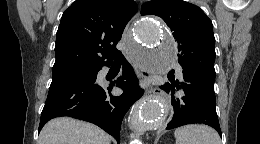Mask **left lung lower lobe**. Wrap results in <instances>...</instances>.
<instances>
[{"label": "left lung lower lobe", "instance_id": "left-lung-lower-lobe-1", "mask_svg": "<svg viewBox=\"0 0 260 144\" xmlns=\"http://www.w3.org/2000/svg\"><path fill=\"white\" fill-rule=\"evenodd\" d=\"M169 82L160 88L171 94L172 111L166 129L202 123L221 129L215 108L214 80L184 68L179 79L168 76Z\"/></svg>", "mask_w": 260, "mask_h": 144}]
</instances>
